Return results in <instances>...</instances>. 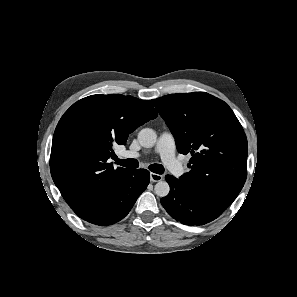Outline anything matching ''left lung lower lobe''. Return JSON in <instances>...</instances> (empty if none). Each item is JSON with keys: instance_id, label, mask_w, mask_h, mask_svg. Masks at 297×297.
<instances>
[{"instance_id": "obj_1", "label": "left lung lower lobe", "mask_w": 297, "mask_h": 297, "mask_svg": "<svg viewBox=\"0 0 297 297\" xmlns=\"http://www.w3.org/2000/svg\"><path fill=\"white\" fill-rule=\"evenodd\" d=\"M170 192L161 198L165 210L185 225H204L219 217L221 213L201 202L171 175L165 176Z\"/></svg>"}]
</instances>
